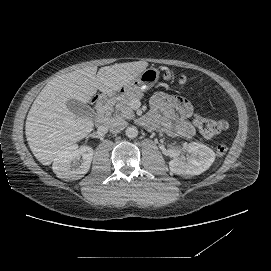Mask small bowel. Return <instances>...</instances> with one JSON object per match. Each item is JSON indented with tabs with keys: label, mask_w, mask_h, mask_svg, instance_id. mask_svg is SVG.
Segmentation results:
<instances>
[{
	"label": "small bowel",
	"mask_w": 271,
	"mask_h": 271,
	"mask_svg": "<svg viewBox=\"0 0 271 271\" xmlns=\"http://www.w3.org/2000/svg\"><path fill=\"white\" fill-rule=\"evenodd\" d=\"M152 115L170 135L189 138L194 128L189 119L194 114L192 104L180 96L157 92L151 98Z\"/></svg>",
	"instance_id": "obj_1"
}]
</instances>
